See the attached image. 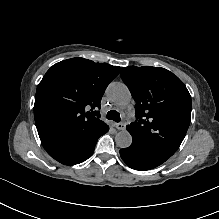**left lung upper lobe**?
Instances as JSON below:
<instances>
[{
	"label": "left lung upper lobe",
	"instance_id": "5c2ea615",
	"mask_svg": "<svg viewBox=\"0 0 219 219\" xmlns=\"http://www.w3.org/2000/svg\"><path fill=\"white\" fill-rule=\"evenodd\" d=\"M120 75L136 102L137 119L126 129L144 146L171 157L191 120L192 101L186 86L161 67L128 66Z\"/></svg>",
	"mask_w": 219,
	"mask_h": 219
}]
</instances>
